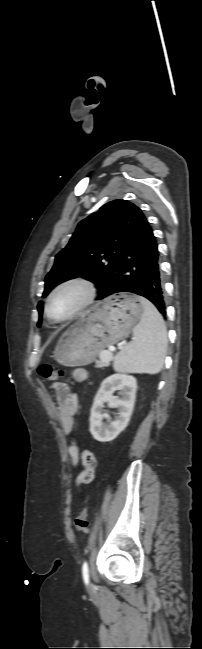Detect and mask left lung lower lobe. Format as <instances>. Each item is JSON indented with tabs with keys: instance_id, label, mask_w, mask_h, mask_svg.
Masks as SVG:
<instances>
[{
	"instance_id": "1",
	"label": "left lung lower lobe",
	"mask_w": 202,
	"mask_h": 649,
	"mask_svg": "<svg viewBox=\"0 0 202 649\" xmlns=\"http://www.w3.org/2000/svg\"><path fill=\"white\" fill-rule=\"evenodd\" d=\"M117 292H131L149 299L166 315L162 280L159 270V252L156 239L146 218L125 243L114 275L98 300Z\"/></svg>"
}]
</instances>
